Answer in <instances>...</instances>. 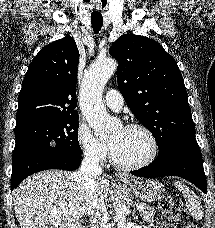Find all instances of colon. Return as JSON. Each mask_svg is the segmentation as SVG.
Wrapping results in <instances>:
<instances>
[{"label": "colon", "mask_w": 215, "mask_h": 228, "mask_svg": "<svg viewBox=\"0 0 215 228\" xmlns=\"http://www.w3.org/2000/svg\"><path fill=\"white\" fill-rule=\"evenodd\" d=\"M158 208L159 212L166 217V220L161 222L160 228H175L180 210L172 196L163 195L158 202ZM186 228H199V225H186Z\"/></svg>", "instance_id": "obj_1"}]
</instances>
